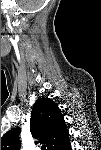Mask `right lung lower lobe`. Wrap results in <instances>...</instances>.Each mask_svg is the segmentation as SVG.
Instances as JSON below:
<instances>
[{"label":"right lung lower lobe","instance_id":"98d812e1","mask_svg":"<svg viewBox=\"0 0 101 150\" xmlns=\"http://www.w3.org/2000/svg\"><path fill=\"white\" fill-rule=\"evenodd\" d=\"M63 150H71V145L69 142L62 148Z\"/></svg>","mask_w":101,"mask_h":150}]
</instances>
